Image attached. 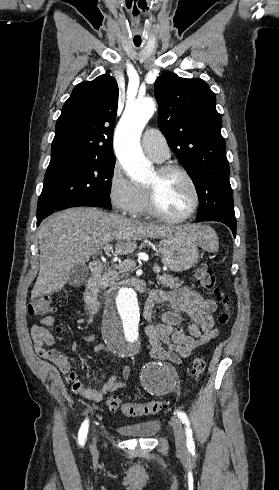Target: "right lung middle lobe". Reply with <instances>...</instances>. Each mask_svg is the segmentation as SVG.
Returning <instances> with one entry per match:
<instances>
[{"mask_svg":"<svg viewBox=\"0 0 279 490\" xmlns=\"http://www.w3.org/2000/svg\"><path fill=\"white\" fill-rule=\"evenodd\" d=\"M114 165V155L50 163L38 200L37 217L75 200H89L111 209L109 194Z\"/></svg>","mask_w":279,"mask_h":490,"instance_id":"dd1d6c3e","label":"right lung middle lobe"}]
</instances>
